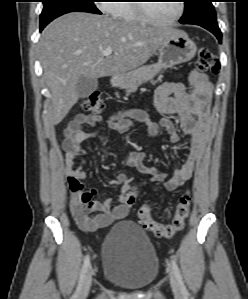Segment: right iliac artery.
I'll return each instance as SVG.
<instances>
[{"instance_id":"82829eb1","label":"right iliac artery","mask_w":248,"mask_h":299,"mask_svg":"<svg viewBox=\"0 0 248 299\" xmlns=\"http://www.w3.org/2000/svg\"><path fill=\"white\" fill-rule=\"evenodd\" d=\"M89 265H90V257L88 255V256H86V258L84 260V264L82 266L80 277H79L78 286H77L76 292L73 296V299H78V297H79V294H80V291L82 288V284H83L84 278L86 276Z\"/></svg>"}]
</instances>
